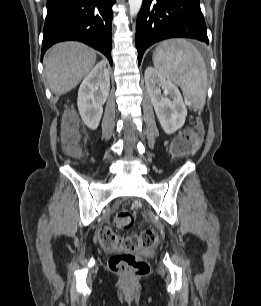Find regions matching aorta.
Returning a JSON list of instances; mask_svg holds the SVG:
<instances>
[{"label":"aorta","instance_id":"1","mask_svg":"<svg viewBox=\"0 0 261 306\" xmlns=\"http://www.w3.org/2000/svg\"><path fill=\"white\" fill-rule=\"evenodd\" d=\"M143 0H129V14L134 17L140 11Z\"/></svg>","mask_w":261,"mask_h":306}]
</instances>
